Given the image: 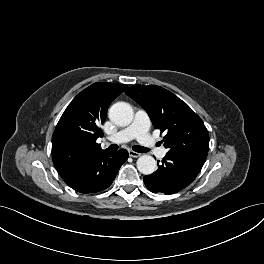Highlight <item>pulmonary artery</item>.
<instances>
[{"instance_id": "e3ab8cb5", "label": "pulmonary artery", "mask_w": 264, "mask_h": 264, "mask_svg": "<svg viewBox=\"0 0 264 264\" xmlns=\"http://www.w3.org/2000/svg\"><path fill=\"white\" fill-rule=\"evenodd\" d=\"M150 119L147 113L143 110H138L135 113L132 123L108 137V140L114 143H124L132 139H137L138 142L152 151L158 158H163L166 155V149L158 147L155 141L149 134Z\"/></svg>"}]
</instances>
